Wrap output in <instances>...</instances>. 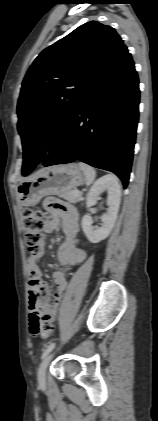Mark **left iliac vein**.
Here are the masks:
<instances>
[{
  "label": "left iliac vein",
  "mask_w": 158,
  "mask_h": 421,
  "mask_svg": "<svg viewBox=\"0 0 158 421\" xmlns=\"http://www.w3.org/2000/svg\"><path fill=\"white\" fill-rule=\"evenodd\" d=\"M52 357H53V353L47 355L43 359V361L41 362V364L38 368L37 377H38V382H39L40 385H44L45 382H46V371H47V367H48Z\"/></svg>",
  "instance_id": "4c4485c4"
}]
</instances>
